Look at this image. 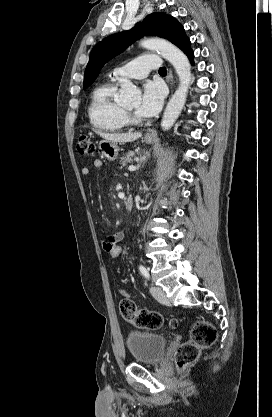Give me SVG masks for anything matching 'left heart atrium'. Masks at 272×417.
Listing matches in <instances>:
<instances>
[{"instance_id": "obj_1", "label": "left heart atrium", "mask_w": 272, "mask_h": 417, "mask_svg": "<svg viewBox=\"0 0 272 417\" xmlns=\"http://www.w3.org/2000/svg\"><path fill=\"white\" fill-rule=\"evenodd\" d=\"M165 90L161 83L157 81H148L143 86L142 97L137 108V114L141 117L148 118L156 115L164 101Z\"/></svg>"}]
</instances>
